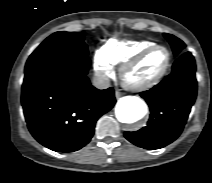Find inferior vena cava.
Returning <instances> with one entry per match:
<instances>
[{
	"mask_svg": "<svg viewBox=\"0 0 212 183\" xmlns=\"http://www.w3.org/2000/svg\"><path fill=\"white\" fill-rule=\"evenodd\" d=\"M93 85L98 89H106L110 86V79L102 73H96L93 78Z\"/></svg>",
	"mask_w": 212,
	"mask_h": 183,
	"instance_id": "1",
	"label": "inferior vena cava"
}]
</instances>
